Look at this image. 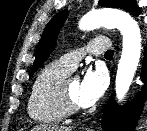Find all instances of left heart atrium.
<instances>
[{
  "label": "left heart atrium",
  "instance_id": "39dd6f15",
  "mask_svg": "<svg viewBox=\"0 0 147 131\" xmlns=\"http://www.w3.org/2000/svg\"><path fill=\"white\" fill-rule=\"evenodd\" d=\"M107 88V76L100 69H88L83 75L78 92V104L90 107L96 104Z\"/></svg>",
  "mask_w": 147,
  "mask_h": 131
}]
</instances>
